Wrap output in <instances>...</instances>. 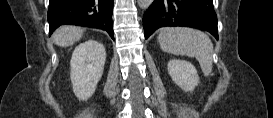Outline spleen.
Segmentation results:
<instances>
[{"mask_svg": "<svg viewBox=\"0 0 273 118\" xmlns=\"http://www.w3.org/2000/svg\"><path fill=\"white\" fill-rule=\"evenodd\" d=\"M157 41L164 52L195 57L203 73H211L213 44L203 32L189 28H164Z\"/></svg>", "mask_w": 273, "mask_h": 118, "instance_id": "3e777b00", "label": "spleen"}]
</instances>
